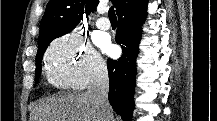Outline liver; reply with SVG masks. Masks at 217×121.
Returning a JSON list of instances; mask_svg holds the SVG:
<instances>
[{
	"instance_id": "liver-1",
	"label": "liver",
	"mask_w": 217,
	"mask_h": 121,
	"mask_svg": "<svg viewBox=\"0 0 217 121\" xmlns=\"http://www.w3.org/2000/svg\"><path fill=\"white\" fill-rule=\"evenodd\" d=\"M32 121H101V115L86 93H71L47 99L33 111Z\"/></svg>"
}]
</instances>
